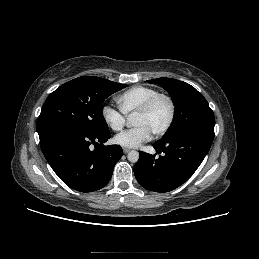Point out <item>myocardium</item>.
<instances>
[{
	"label": "myocardium",
	"instance_id": "obj_1",
	"mask_svg": "<svg viewBox=\"0 0 259 259\" xmlns=\"http://www.w3.org/2000/svg\"><path fill=\"white\" fill-rule=\"evenodd\" d=\"M159 99H164L168 102L169 108H170V114H169V118H168L166 124L160 130H158L157 132L154 133V135L157 137L162 136L165 133H167L169 131V129L171 128V126L173 125V122L175 120L176 106H175V102L172 99V97L165 93H157V94L153 95L152 97H150L148 100H146L144 102V104L134 113L135 115L147 114Z\"/></svg>",
	"mask_w": 259,
	"mask_h": 259
}]
</instances>
